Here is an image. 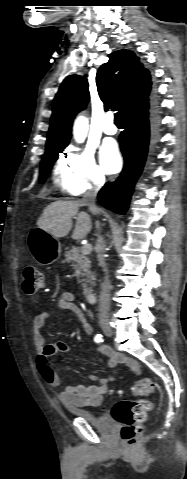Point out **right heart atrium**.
Returning a JSON list of instances; mask_svg holds the SVG:
<instances>
[{
  "label": "right heart atrium",
  "mask_w": 187,
  "mask_h": 479,
  "mask_svg": "<svg viewBox=\"0 0 187 479\" xmlns=\"http://www.w3.org/2000/svg\"><path fill=\"white\" fill-rule=\"evenodd\" d=\"M55 175L62 192L75 197L100 189L106 174L92 150L69 148L55 166Z\"/></svg>",
  "instance_id": "1"
}]
</instances>
